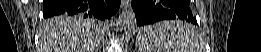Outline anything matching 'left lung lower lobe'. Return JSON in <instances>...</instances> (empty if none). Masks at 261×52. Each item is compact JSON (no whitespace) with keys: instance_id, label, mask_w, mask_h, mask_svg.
Listing matches in <instances>:
<instances>
[{"instance_id":"1","label":"left lung lower lobe","mask_w":261,"mask_h":52,"mask_svg":"<svg viewBox=\"0 0 261 52\" xmlns=\"http://www.w3.org/2000/svg\"><path fill=\"white\" fill-rule=\"evenodd\" d=\"M189 5V0H135L132 8L138 26L168 19H181L197 24Z\"/></svg>"}]
</instances>
